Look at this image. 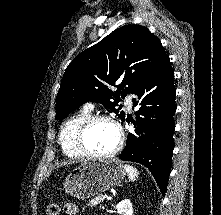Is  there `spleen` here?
I'll return each instance as SVG.
<instances>
[{
  "label": "spleen",
  "mask_w": 221,
  "mask_h": 215,
  "mask_svg": "<svg viewBox=\"0 0 221 215\" xmlns=\"http://www.w3.org/2000/svg\"><path fill=\"white\" fill-rule=\"evenodd\" d=\"M124 168L128 174L130 181L133 182L138 178V171L136 168H134L133 166L127 165V164L124 166Z\"/></svg>",
  "instance_id": "obj_1"
}]
</instances>
